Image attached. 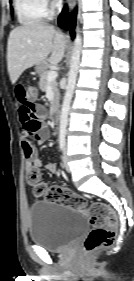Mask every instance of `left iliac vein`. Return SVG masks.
I'll use <instances>...</instances> for the list:
<instances>
[{"label": "left iliac vein", "instance_id": "1", "mask_svg": "<svg viewBox=\"0 0 134 281\" xmlns=\"http://www.w3.org/2000/svg\"><path fill=\"white\" fill-rule=\"evenodd\" d=\"M63 165L64 168L69 171V165H68V159H67V146L66 144L64 145V149H63Z\"/></svg>", "mask_w": 134, "mask_h": 281}]
</instances>
